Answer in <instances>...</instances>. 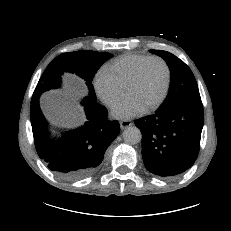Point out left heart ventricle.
Wrapping results in <instances>:
<instances>
[{"label": "left heart ventricle", "instance_id": "1", "mask_svg": "<svg viewBox=\"0 0 231 231\" xmlns=\"http://www.w3.org/2000/svg\"><path fill=\"white\" fill-rule=\"evenodd\" d=\"M166 80V71L159 61L149 62L139 81L127 92V97L138 101L145 109L160 97Z\"/></svg>", "mask_w": 231, "mask_h": 231}]
</instances>
